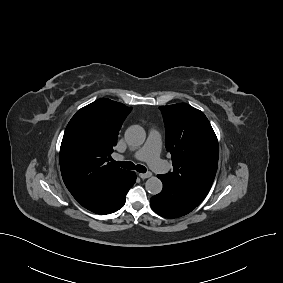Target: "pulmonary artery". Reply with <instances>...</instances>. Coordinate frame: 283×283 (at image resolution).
I'll list each match as a JSON object with an SVG mask.
<instances>
[{
	"instance_id": "e3ab8cb5",
	"label": "pulmonary artery",
	"mask_w": 283,
	"mask_h": 283,
	"mask_svg": "<svg viewBox=\"0 0 283 283\" xmlns=\"http://www.w3.org/2000/svg\"><path fill=\"white\" fill-rule=\"evenodd\" d=\"M160 147H161V134L155 129H151L148 134V138L144 146L133 154V157L137 160L146 161L152 169L159 173L166 172V165L160 159ZM118 159H122V156H118Z\"/></svg>"
}]
</instances>
